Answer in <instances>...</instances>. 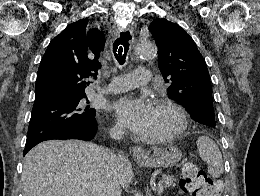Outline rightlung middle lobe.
Masks as SVG:
<instances>
[{
    "mask_svg": "<svg viewBox=\"0 0 260 196\" xmlns=\"http://www.w3.org/2000/svg\"><path fill=\"white\" fill-rule=\"evenodd\" d=\"M85 98V93L62 95L33 105L26 146L95 123L96 112Z\"/></svg>",
    "mask_w": 260,
    "mask_h": 196,
    "instance_id": "1",
    "label": "right lung middle lobe"
}]
</instances>
